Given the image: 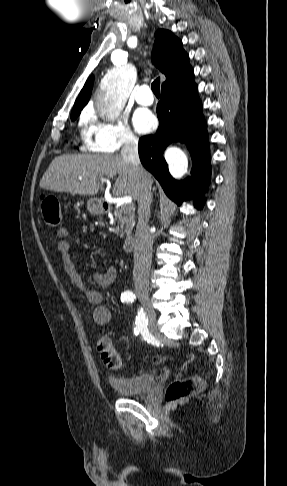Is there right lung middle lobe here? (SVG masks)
Wrapping results in <instances>:
<instances>
[{
    "mask_svg": "<svg viewBox=\"0 0 287 486\" xmlns=\"http://www.w3.org/2000/svg\"><path fill=\"white\" fill-rule=\"evenodd\" d=\"M80 113L71 114V119L75 120Z\"/></svg>",
    "mask_w": 287,
    "mask_h": 486,
    "instance_id": "obj_1",
    "label": "right lung middle lobe"
}]
</instances>
